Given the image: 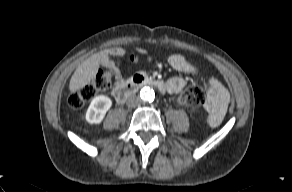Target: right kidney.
<instances>
[{
	"label": "right kidney",
	"instance_id": "1",
	"mask_svg": "<svg viewBox=\"0 0 292 192\" xmlns=\"http://www.w3.org/2000/svg\"><path fill=\"white\" fill-rule=\"evenodd\" d=\"M112 101L109 97L104 95L96 96L90 103L86 112V121L90 124L100 123L106 112L110 109Z\"/></svg>",
	"mask_w": 292,
	"mask_h": 192
}]
</instances>
